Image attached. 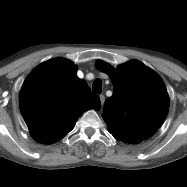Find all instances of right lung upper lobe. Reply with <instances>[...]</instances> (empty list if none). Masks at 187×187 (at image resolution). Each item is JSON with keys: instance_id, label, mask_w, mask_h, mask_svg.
<instances>
[{"instance_id": "right-lung-upper-lobe-1", "label": "right lung upper lobe", "mask_w": 187, "mask_h": 187, "mask_svg": "<svg viewBox=\"0 0 187 187\" xmlns=\"http://www.w3.org/2000/svg\"><path fill=\"white\" fill-rule=\"evenodd\" d=\"M19 106L32 137L49 144L69 133L83 112L99 110L101 104L86 82L77 77V67L56 58L40 64L27 76Z\"/></svg>"}]
</instances>
